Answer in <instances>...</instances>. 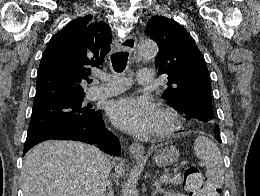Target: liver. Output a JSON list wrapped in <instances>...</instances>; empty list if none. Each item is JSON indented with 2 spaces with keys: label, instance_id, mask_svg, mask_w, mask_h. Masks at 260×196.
<instances>
[{
  "label": "liver",
  "instance_id": "6515ba94",
  "mask_svg": "<svg viewBox=\"0 0 260 196\" xmlns=\"http://www.w3.org/2000/svg\"><path fill=\"white\" fill-rule=\"evenodd\" d=\"M107 156L82 142L47 140L34 146L23 162L24 196H94L105 192L109 174ZM123 176V164L116 166Z\"/></svg>",
  "mask_w": 260,
  "mask_h": 196
}]
</instances>
